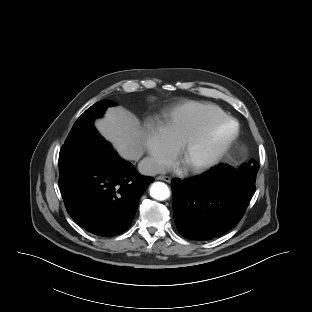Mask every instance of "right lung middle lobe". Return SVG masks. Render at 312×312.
Wrapping results in <instances>:
<instances>
[{"label": "right lung middle lobe", "mask_w": 312, "mask_h": 312, "mask_svg": "<svg viewBox=\"0 0 312 312\" xmlns=\"http://www.w3.org/2000/svg\"><path fill=\"white\" fill-rule=\"evenodd\" d=\"M115 105L111 101H100L88 108L75 122L59 154L60 177L69 175L93 152L104 147L107 142L99 135L93 122L101 117L107 107Z\"/></svg>", "instance_id": "right-lung-middle-lobe-1"}]
</instances>
